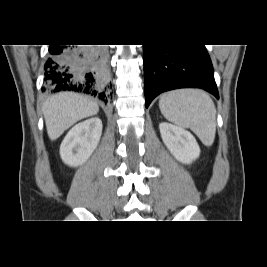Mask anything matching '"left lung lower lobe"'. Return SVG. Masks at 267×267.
<instances>
[{
  "label": "left lung lower lobe",
  "mask_w": 267,
  "mask_h": 267,
  "mask_svg": "<svg viewBox=\"0 0 267 267\" xmlns=\"http://www.w3.org/2000/svg\"><path fill=\"white\" fill-rule=\"evenodd\" d=\"M146 107L160 93L202 88L219 98L204 45H143Z\"/></svg>",
  "instance_id": "1"
}]
</instances>
